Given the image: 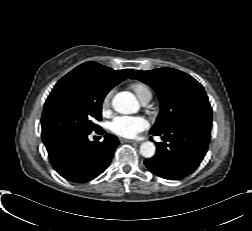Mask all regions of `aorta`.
<instances>
[{
	"mask_svg": "<svg viewBox=\"0 0 252 231\" xmlns=\"http://www.w3.org/2000/svg\"><path fill=\"white\" fill-rule=\"evenodd\" d=\"M112 107L121 114H131L138 110V102L130 92L117 93L112 99ZM156 147L153 142L146 141L140 146V153L145 158H152L155 155Z\"/></svg>",
	"mask_w": 252,
	"mask_h": 231,
	"instance_id": "762f6f07",
	"label": "aorta"
}]
</instances>
